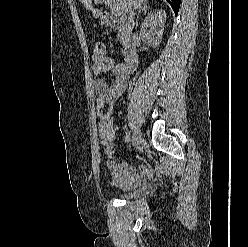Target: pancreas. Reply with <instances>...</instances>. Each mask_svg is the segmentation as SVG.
<instances>
[{
  "label": "pancreas",
  "mask_w": 248,
  "mask_h": 247,
  "mask_svg": "<svg viewBox=\"0 0 248 247\" xmlns=\"http://www.w3.org/2000/svg\"><path fill=\"white\" fill-rule=\"evenodd\" d=\"M120 40L123 43V45H125V41H124V39L122 37L120 38Z\"/></svg>",
  "instance_id": "1"
}]
</instances>
